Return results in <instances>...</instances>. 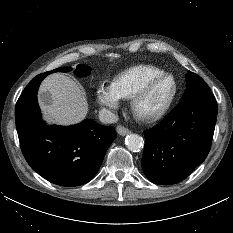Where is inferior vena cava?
<instances>
[{"instance_id":"1","label":"inferior vena cava","mask_w":233,"mask_h":233,"mask_svg":"<svg viewBox=\"0 0 233 233\" xmlns=\"http://www.w3.org/2000/svg\"><path fill=\"white\" fill-rule=\"evenodd\" d=\"M99 119L103 123L112 124L118 121V116L106 108L99 111Z\"/></svg>"}]
</instances>
